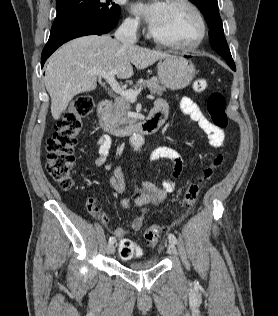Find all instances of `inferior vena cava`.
Instances as JSON below:
<instances>
[{"mask_svg": "<svg viewBox=\"0 0 278 316\" xmlns=\"http://www.w3.org/2000/svg\"><path fill=\"white\" fill-rule=\"evenodd\" d=\"M136 31H137V23L136 22L125 21L116 30L114 36L123 45L131 46L137 42Z\"/></svg>", "mask_w": 278, "mask_h": 316, "instance_id": "1", "label": "inferior vena cava"}]
</instances>
